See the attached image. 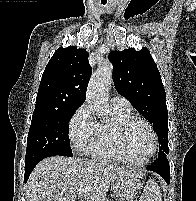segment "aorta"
I'll return each mask as SVG.
<instances>
[{"mask_svg":"<svg viewBox=\"0 0 196 201\" xmlns=\"http://www.w3.org/2000/svg\"><path fill=\"white\" fill-rule=\"evenodd\" d=\"M113 65L104 61L92 75L86 93V101L97 116L107 117L110 114L108 96L112 83Z\"/></svg>","mask_w":196,"mask_h":201,"instance_id":"762f6f07","label":"aorta"}]
</instances>
